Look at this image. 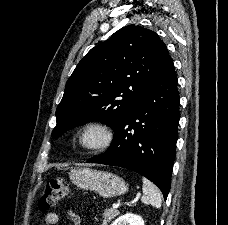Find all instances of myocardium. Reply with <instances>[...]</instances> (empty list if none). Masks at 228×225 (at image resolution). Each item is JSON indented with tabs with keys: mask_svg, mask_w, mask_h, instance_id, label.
Returning <instances> with one entry per match:
<instances>
[{
	"mask_svg": "<svg viewBox=\"0 0 228 225\" xmlns=\"http://www.w3.org/2000/svg\"><path fill=\"white\" fill-rule=\"evenodd\" d=\"M93 135L97 138H92ZM71 142L78 151L92 154L104 153L114 145L115 132L105 122L87 121L75 130Z\"/></svg>",
	"mask_w": 228,
	"mask_h": 225,
	"instance_id": "1",
	"label": "myocardium"
}]
</instances>
